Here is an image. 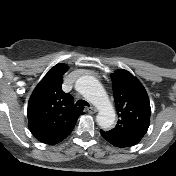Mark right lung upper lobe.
<instances>
[{
  "instance_id": "cb5924a9",
  "label": "right lung upper lobe",
  "mask_w": 176,
  "mask_h": 176,
  "mask_svg": "<svg viewBox=\"0 0 176 176\" xmlns=\"http://www.w3.org/2000/svg\"><path fill=\"white\" fill-rule=\"evenodd\" d=\"M65 64L54 66L34 89L28 103L31 133L41 142L57 144L73 130L82 107H75L73 97L62 91Z\"/></svg>"
}]
</instances>
